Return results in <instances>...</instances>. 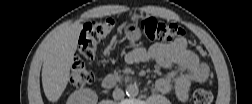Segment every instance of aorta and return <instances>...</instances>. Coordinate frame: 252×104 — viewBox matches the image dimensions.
Listing matches in <instances>:
<instances>
[{"label": "aorta", "instance_id": "1", "mask_svg": "<svg viewBox=\"0 0 252 104\" xmlns=\"http://www.w3.org/2000/svg\"><path fill=\"white\" fill-rule=\"evenodd\" d=\"M139 94V88L136 84H129L126 87V95L128 97H136Z\"/></svg>", "mask_w": 252, "mask_h": 104}]
</instances>
